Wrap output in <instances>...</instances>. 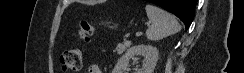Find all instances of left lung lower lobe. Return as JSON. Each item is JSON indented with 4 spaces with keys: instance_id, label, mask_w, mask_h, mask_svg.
I'll list each match as a JSON object with an SVG mask.
<instances>
[{
    "instance_id": "0a47b994",
    "label": "left lung lower lobe",
    "mask_w": 244,
    "mask_h": 73,
    "mask_svg": "<svg viewBox=\"0 0 244 73\" xmlns=\"http://www.w3.org/2000/svg\"><path fill=\"white\" fill-rule=\"evenodd\" d=\"M176 15L189 28L195 14L197 0H146Z\"/></svg>"
}]
</instances>
